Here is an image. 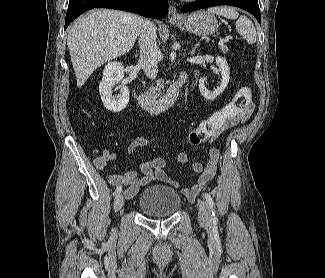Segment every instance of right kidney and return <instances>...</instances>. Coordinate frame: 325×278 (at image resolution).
Returning <instances> with one entry per match:
<instances>
[{
  "label": "right kidney",
  "mask_w": 325,
  "mask_h": 278,
  "mask_svg": "<svg viewBox=\"0 0 325 278\" xmlns=\"http://www.w3.org/2000/svg\"><path fill=\"white\" fill-rule=\"evenodd\" d=\"M124 79V66L121 62H109L103 71L99 84V93L104 107L114 113L126 108L129 102V89L125 85L120 86V94L112 96V88Z\"/></svg>",
  "instance_id": "obj_1"
}]
</instances>
